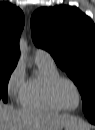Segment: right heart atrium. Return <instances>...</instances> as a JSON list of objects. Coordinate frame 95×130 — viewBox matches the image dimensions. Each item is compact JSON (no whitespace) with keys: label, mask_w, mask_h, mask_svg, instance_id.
Instances as JSON below:
<instances>
[{"label":"right heart atrium","mask_w":95,"mask_h":130,"mask_svg":"<svg viewBox=\"0 0 95 130\" xmlns=\"http://www.w3.org/2000/svg\"><path fill=\"white\" fill-rule=\"evenodd\" d=\"M25 69L22 63H17L8 76L6 88L11 98L20 99L21 93L25 87Z\"/></svg>","instance_id":"right-heart-atrium-1"}]
</instances>
